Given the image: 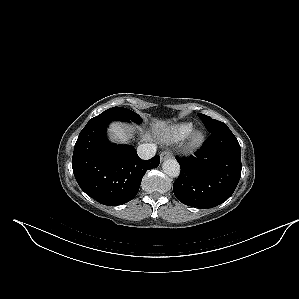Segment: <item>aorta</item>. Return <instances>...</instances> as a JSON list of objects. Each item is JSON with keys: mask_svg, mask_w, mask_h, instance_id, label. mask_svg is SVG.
I'll list each match as a JSON object with an SVG mask.
<instances>
[{"mask_svg": "<svg viewBox=\"0 0 299 299\" xmlns=\"http://www.w3.org/2000/svg\"><path fill=\"white\" fill-rule=\"evenodd\" d=\"M163 172L170 177H178L180 174V165L175 159H167L162 165Z\"/></svg>", "mask_w": 299, "mask_h": 299, "instance_id": "1", "label": "aorta"}]
</instances>
